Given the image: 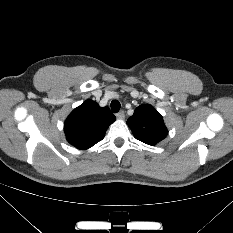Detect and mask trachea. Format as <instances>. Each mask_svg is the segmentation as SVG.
I'll return each instance as SVG.
<instances>
[{
  "label": "trachea",
  "mask_w": 233,
  "mask_h": 233,
  "mask_svg": "<svg viewBox=\"0 0 233 233\" xmlns=\"http://www.w3.org/2000/svg\"><path fill=\"white\" fill-rule=\"evenodd\" d=\"M120 107H121V105H120V102H119V101L113 100V101L111 102V109H112V111H113L114 113H117V112L120 110Z\"/></svg>",
  "instance_id": "obj_1"
}]
</instances>
